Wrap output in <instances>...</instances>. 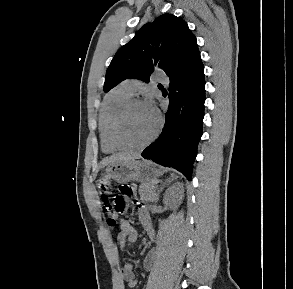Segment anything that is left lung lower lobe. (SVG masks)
I'll return each mask as SVG.
<instances>
[{
  "label": "left lung lower lobe",
  "instance_id": "left-lung-lower-lobe-1",
  "mask_svg": "<svg viewBox=\"0 0 293 289\" xmlns=\"http://www.w3.org/2000/svg\"><path fill=\"white\" fill-rule=\"evenodd\" d=\"M169 79V107L164 128L157 141L141 155L173 167L191 180L204 117L205 79L200 53Z\"/></svg>",
  "mask_w": 293,
  "mask_h": 289
}]
</instances>
